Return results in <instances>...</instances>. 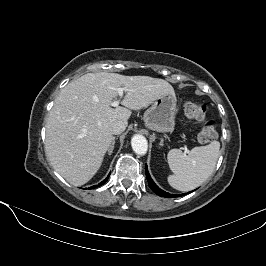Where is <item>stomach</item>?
<instances>
[{
    "mask_svg": "<svg viewBox=\"0 0 266 266\" xmlns=\"http://www.w3.org/2000/svg\"><path fill=\"white\" fill-rule=\"evenodd\" d=\"M176 98L164 95L157 98L144 114L145 125L157 132H170L175 126Z\"/></svg>",
    "mask_w": 266,
    "mask_h": 266,
    "instance_id": "stomach-1",
    "label": "stomach"
}]
</instances>
